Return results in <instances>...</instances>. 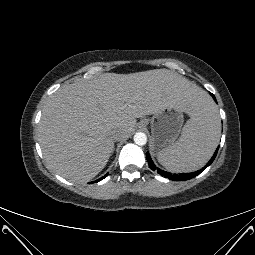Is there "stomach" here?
<instances>
[{"label": "stomach", "instance_id": "0dacf381", "mask_svg": "<svg viewBox=\"0 0 255 255\" xmlns=\"http://www.w3.org/2000/svg\"><path fill=\"white\" fill-rule=\"evenodd\" d=\"M152 117L150 149L158 154L177 139L184 122V115L181 109L166 106L153 113Z\"/></svg>", "mask_w": 255, "mask_h": 255}]
</instances>
